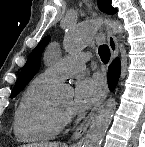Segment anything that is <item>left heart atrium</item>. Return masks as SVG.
Here are the masks:
<instances>
[{"instance_id": "1", "label": "left heart atrium", "mask_w": 145, "mask_h": 147, "mask_svg": "<svg viewBox=\"0 0 145 147\" xmlns=\"http://www.w3.org/2000/svg\"><path fill=\"white\" fill-rule=\"evenodd\" d=\"M103 82L99 76L86 77L78 80L75 87V96L71 104V112L80 114L90 108L100 97Z\"/></svg>"}]
</instances>
